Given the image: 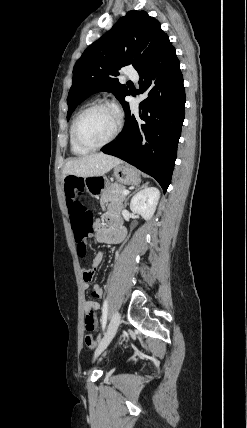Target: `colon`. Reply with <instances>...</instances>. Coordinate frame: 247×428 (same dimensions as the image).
<instances>
[{"instance_id": "colon-1", "label": "colon", "mask_w": 247, "mask_h": 428, "mask_svg": "<svg viewBox=\"0 0 247 428\" xmlns=\"http://www.w3.org/2000/svg\"><path fill=\"white\" fill-rule=\"evenodd\" d=\"M64 190L66 195V211L72 217L74 235L78 242V253L81 257H84L87 251L86 239L92 232L93 217L91 209L86 204V200L83 199V181L75 176H68L64 180ZM85 306L90 309V313L89 317L84 320L85 329L87 330L84 341L88 347L93 348L96 345V339L92 334L97 329L99 323L96 316V313H99V310L96 309L99 303L96 300H88Z\"/></svg>"}]
</instances>
